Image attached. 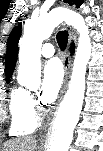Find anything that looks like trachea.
I'll return each mask as SVG.
<instances>
[{
  "label": "trachea",
  "mask_w": 103,
  "mask_h": 151,
  "mask_svg": "<svg viewBox=\"0 0 103 151\" xmlns=\"http://www.w3.org/2000/svg\"><path fill=\"white\" fill-rule=\"evenodd\" d=\"M67 42H68V32L67 31L58 32L57 43L62 51L65 50Z\"/></svg>",
  "instance_id": "3493384b"
}]
</instances>
